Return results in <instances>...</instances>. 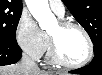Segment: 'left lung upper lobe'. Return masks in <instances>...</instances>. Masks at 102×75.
Here are the masks:
<instances>
[{"mask_svg": "<svg viewBox=\"0 0 102 75\" xmlns=\"http://www.w3.org/2000/svg\"><path fill=\"white\" fill-rule=\"evenodd\" d=\"M89 34L94 53L102 50V0H62Z\"/></svg>", "mask_w": 102, "mask_h": 75, "instance_id": "5c2ea615", "label": "left lung upper lobe"}]
</instances>
